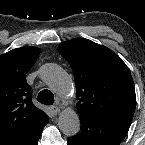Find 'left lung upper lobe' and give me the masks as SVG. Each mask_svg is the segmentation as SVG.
Instances as JSON below:
<instances>
[{
    "label": "left lung upper lobe",
    "instance_id": "5c2ea615",
    "mask_svg": "<svg viewBox=\"0 0 145 145\" xmlns=\"http://www.w3.org/2000/svg\"><path fill=\"white\" fill-rule=\"evenodd\" d=\"M74 73L78 114L132 120L136 95L130 71L109 48L84 38L58 46Z\"/></svg>",
    "mask_w": 145,
    "mask_h": 145
}]
</instances>
